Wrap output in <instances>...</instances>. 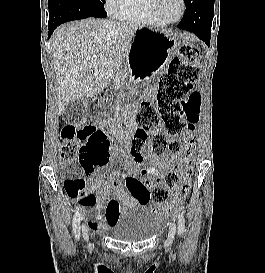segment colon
Wrapping results in <instances>:
<instances>
[{"label": "colon", "mask_w": 265, "mask_h": 273, "mask_svg": "<svg viewBox=\"0 0 265 273\" xmlns=\"http://www.w3.org/2000/svg\"><path fill=\"white\" fill-rule=\"evenodd\" d=\"M179 53L181 58L174 59L169 71L160 79L156 103L145 102L141 105L136 115L138 130L131 146V155L139 165L143 162V148L149 137L154 155L172 154L174 167L165 173L163 182L154 186L151 182L145 184L152 187L154 203L168 206L186 194L188 185L183 179L192 170L193 152L199 144L195 125L200 118L201 95L192 91V84L199 75L195 64L199 50L183 44ZM61 138L64 142L62 156L68 161L78 156L80 165H66V170L73 177L65 181V191L71 198L85 195L87 183L81 172L90 173L95 167L108 163V138L104 131L90 124L81 127L67 125L61 131ZM182 151L184 154L179 157ZM110 209L116 211V204L111 203Z\"/></svg>", "instance_id": "colon-1"}]
</instances>
